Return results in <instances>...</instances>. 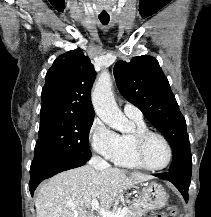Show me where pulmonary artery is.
Returning a JSON list of instances; mask_svg holds the SVG:
<instances>
[{
    "instance_id": "pulmonary-artery-1",
    "label": "pulmonary artery",
    "mask_w": 211,
    "mask_h": 217,
    "mask_svg": "<svg viewBox=\"0 0 211 217\" xmlns=\"http://www.w3.org/2000/svg\"><path fill=\"white\" fill-rule=\"evenodd\" d=\"M123 111L128 117L138 118V119L143 118V114H142L141 110L129 102H126L123 105Z\"/></svg>"
}]
</instances>
